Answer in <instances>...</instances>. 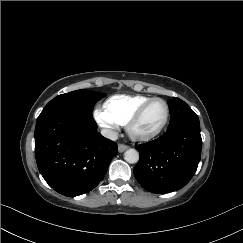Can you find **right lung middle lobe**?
Listing matches in <instances>:
<instances>
[{"label":"right lung middle lobe","mask_w":243,"mask_h":243,"mask_svg":"<svg viewBox=\"0 0 243 243\" xmlns=\"http://www.w3.org/2000/svg\"><path fill=\"white\" fill-rule=\"evenodd\" d=\"M106 94L81 89L66 94H61L51 100L39 116H44L52 111L68 110L92 116L95 103Z\"/></svg>","instance_id":"dd1d6c3e"}]
</instances>
